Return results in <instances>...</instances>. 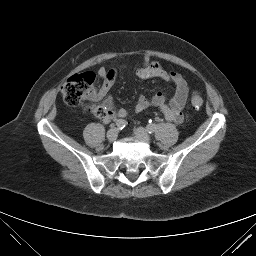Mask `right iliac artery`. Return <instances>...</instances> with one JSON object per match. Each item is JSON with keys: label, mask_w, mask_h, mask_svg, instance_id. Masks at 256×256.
I'll return each instance as SVG.
<instances>
[{"label": "right iliac artery", "mask_w": 256, "mask_h": 256, "mask_svg": "<svg viewBox=\"0 0 256 256\" xmlns=\"http://www.w3.org/2000/svg\"><path fill=\"white\" fill-rule=\"evenodd\" d=\"M114 125H116L119 129H123L127 125V122L123 119H119Z\"/></svg>", "instance_id": "1"}]
</instances>
